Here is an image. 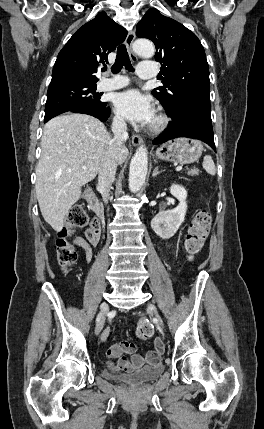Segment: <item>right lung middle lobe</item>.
<instances>
[{"label":"right lung middle lobe","mask_w":264,"mask_h":429,"mask_svg":"<svg viewBox=\"0 0 264 429\" xmlns=\"http://www.w3.org/2000/svg\"><path fill=\"white\" fill-rule=\"evenodd\" d=\"M105 102L96 93V84H66L48 88L44 121L75 108L102 109Z\"/></svg>","instance_id":"dd1d6c3e"}]
</instances>
